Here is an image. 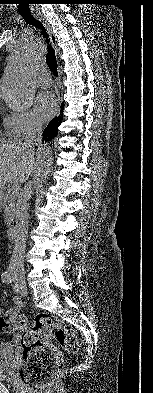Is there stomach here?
Here are the masks:
<instances>
[{"label":"stomach","instance_id":"stomach-1","mask_svg":"<svg viewBox=\"0 0 153 393\" xmlns=\"http://www.w3.org/2000/svg\"><path fill=\"white\" fill-rule=\"evenodd\" d=\"M2 195H3V190H0V200L2 198Z\"/></svg>","mask_w":153,"mask_h":393}]
</instances>
